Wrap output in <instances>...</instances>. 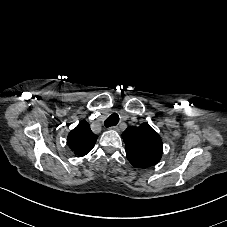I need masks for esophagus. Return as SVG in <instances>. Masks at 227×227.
<instances>
[{
	"mask_svg": "<svg viewBox=\"0 0 227 227\" xmlns=\"http://www.w3.org/2000/svg\"><path fill=\"white\" fill-rule=\"evenodd\" d=\"M110 129H113V130H116V131L119 130L117 126H112Z\"/></svg>",
	"mask_w": 227,
	"mask_h": 227,
	"instance_id": "1",
	"label": "esophagus"
}]
</instances>
